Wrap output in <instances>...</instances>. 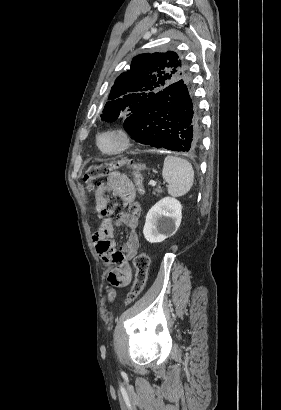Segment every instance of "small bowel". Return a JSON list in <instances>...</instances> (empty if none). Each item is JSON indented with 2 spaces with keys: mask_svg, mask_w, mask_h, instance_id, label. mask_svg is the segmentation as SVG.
I'll return each instance as SVG.
<instances>
[{
  "mask_svg": "<svg viewBox=\"0 0 281 410\" xmlns=\"http://www.w3.org/2000/svg\"><path fill=\"white\" fill-rule=\"evenodd\" d=\"M108 195H121L134 201L135 190L131 181L123 174L113 172L106 183L95 191V210L101 223L93 236L96 251L104 264L110 267L108 281L112 286L125 287L131 279L129 260L139 249L138 214L123 213L116 220L111 217ZM126 225L129 233L120 250H115L112 241L115 226Z\"/></svg>",
  "mask_w": 281,
  "mask_h": 410,
  "instance_id": "small-bowel-1",
  "label": "small bowel"
}]
</instances>
